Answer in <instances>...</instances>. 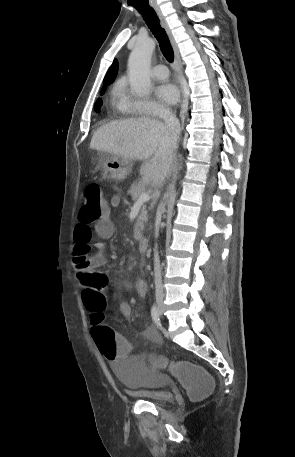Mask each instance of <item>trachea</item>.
I'll use <instances>...</instances> for the list:
<instances>
[{"mask_svg": "<svg viewBox=\"0 0 295 457\" xmlns=\"http://www.w3.org/2000/svg\"><path fill=\"white\" fill-rule=\"evenodd\" d=\"M137 10L142 14L144 21L154 37L157 39L161 52L166 60L168 62H173V48L170 44L166 31L160 25L159 18L154 9H152L149 5H137Z\"/></svg>", "mask_w": 295, "mask_h": 457, "instance_id": "obj_1", "label": "trachea"}]
</instances>
